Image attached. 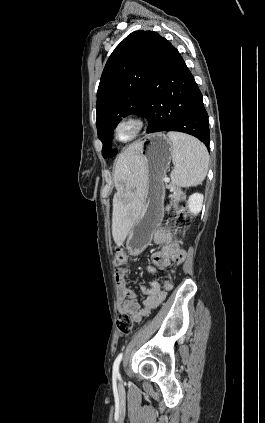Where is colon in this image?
Segmentation results:
<instances>
[{"label":"colon","instance_id":"5ec220e1","mask_svg":"<svg viewBox=\"0 0 265 423\" xmlns=\"http://www.w3.org/2000/svg\"><path fill=\"white\" fill-rule=\"evenodd\" d=\"M175 204L177 206L183 205L184 201H176ZM174 224L178 229L184 230L187 227V219L182 213H179L174 218ZM126 260H127V257L125 253L121 250H118L115 257V264L118 266L123 265L126 262ZM116 325H117V329L119 333L122 335H129L133 332V329H134V323L130 315L127 313H120L118 315L116 320Z\"/></svg>","mask_w":265,"mask_h":423}]
</instances>
